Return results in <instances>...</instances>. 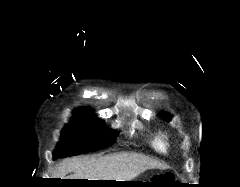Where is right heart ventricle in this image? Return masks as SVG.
I'll return each instance as SVG.
<instances>
[{
	"mask_svg": "<svg viewBox=\"0 0 240 187\" xmlns=\"http://www.w3.org/2000/svg\"><path fill=\"white\" fill-rule=\"evenodd\" d=\"M151 144H152L153 148L160 153H166L169 149L168 138L163 133H157L153 137Z\"/></svg>",
	"mask_w": 240,
	"mask_h": 187,
	"instance_id": "1",
	"label": "right heart ventricle"
}]
</instances>
